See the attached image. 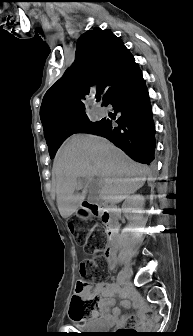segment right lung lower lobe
<instances>
[{
  "label": "right lung lower lobe",
  "mask_w": 193,
  "mask_h": 336,
  "mask_svg": "<svg viewBox=\"0 0 193 336\" xmlns=\"http://www.w3.org/2000/svg\"><path fill=\"white\" fill-rule=\"evenodd\" d=\"M111 104L115 121L104 119L103 125L92 134L107 138L133 160L151 164L155 151V128L145 81L134 62L119 78L103 105Z\"/></svg>",
  "instance_id": "obj_1"
}]
</instances>
